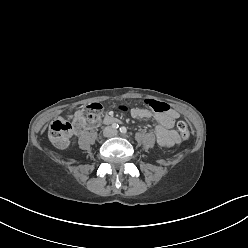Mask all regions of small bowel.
<instances>
[{
    "instance_id": "1",
    "label": "small bowel",
    "mask_w": 248,
    "mask_h": 248,
    "mask_svg": "<svg viewBox=\"0 0 248 248\" xmlns=\"http://www.w3.org/2000/svg\"><path fill=\"white\" fill-rule=\"evenodd\" d=\"M133 118L146 119L151 117V113L143 108H133L130 112ZM179 117L177 111L168 109L154 116L157 125L154 127V135L158 143L164 147H171L179 142L178 133L174 130L175 120Z\"/></svg>"
}]
</instances>
